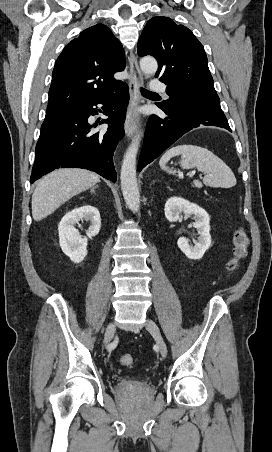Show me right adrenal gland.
I'll return each mask as SVG.
<instances>
[{
	"label": "right adrenal gland",
	"mask_w": 272,
	"mask_h": 452,
	"mask_svg": "<svg viewBox=\"0 0 272 452\" xmlns=\"http://www.w3.org/2000/svg\"><path fill=\"white\" fill-rule=\"evenodd\" d=\"M96 187H97V186H96ZM96 187H93V188L91 189V192H92V193H95Z\"/></svg>",
	"instance_id": "2a0ac1e0"
}]
</instances>
